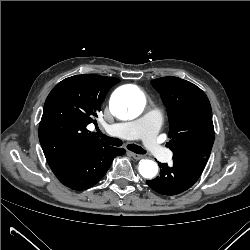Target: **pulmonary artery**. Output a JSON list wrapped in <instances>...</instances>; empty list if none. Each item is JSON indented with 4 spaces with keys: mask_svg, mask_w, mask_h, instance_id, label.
Wrapping results in <instances>:
<instances>
[{
    "mask_svg": "<svg viewBox=\"0 0 250 250\" xmlns=\"http://www.w3.org/2000/svg\"><path fill=\"white\" fill-rule=\"evenodd\" d=\"M160 124V113L153 111L139 121L111 125L109 131L117 136L142 140L144 146L153 157L166 162L171 159V152L160 145L155 138Z\"/></svg>",
    "mask_w": 250,
    "mask_h": 250,
    "instance_id": "1",
    "label": "pulmonary artery"
}]
</instances>
